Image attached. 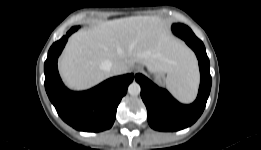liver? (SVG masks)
Instances as JSON below:
<instances>
[{"instance_id":"liver-1","label":"liver","mask_w":261,"mask_h":150,"mask_svg":"<svg viewBox=\"0 0 261 150\" xmlns=\"http://www.w3.org/2000/svg\"><path fill=\"white\" fill-rule=\"evenodd\" d=\"M122 62L127 71L140 63L151 72L179 76L193 66L194 58L173 38L166 24L153 16L105 21L75 33L60 58L66 84L86 89L110 77L111 63Z\"/></svg>"}]
</instances>
